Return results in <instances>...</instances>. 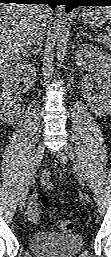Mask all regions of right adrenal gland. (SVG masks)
Returning a JSON list of instances; mask_svg holds the SVG:
<instances>
[{
    "label": "right adrenal gland",
    "mask_w": 111,
    "mask_h": 257,
    "mask_svg": "<svg viewBox=\"0 0 111 257\" xmlns=\"http://www.w3.org/2000/svg\"><path fill=\"white\" fill-rule=\"evenodd\" d=\"M38 53H39V49H35V50L30 51V52H27L26 55H25V57H29L30 55H35V56H37Z\"/></svg>",
    "instance_id": "2a0ac1e0"
}]
</instances>
